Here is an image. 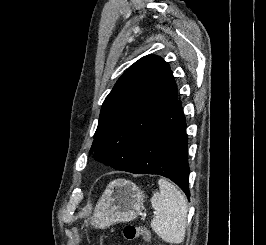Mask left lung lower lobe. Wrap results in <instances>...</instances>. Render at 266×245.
<instances>
[{"label":"left lung lower lobe","mask_w":266,"mask_h":245,"mask_svg":"<svg viewBox=\"0 0 266 245\" xmlns=\"http://www.w3.org/2000/svg\"><path fill=\"white\" fill-rule=\"evenodd\" d=\"M187 144L185 116L176 99L143 135L125 171L169 178L189 197Z\"/></svg>","instance_id":"obj_1"}]
</instances>
